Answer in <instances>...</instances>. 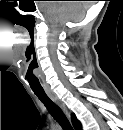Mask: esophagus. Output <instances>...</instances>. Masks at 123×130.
Returning <instances> with one entry per match:
<instances>
[{
    "label": "esophagus",
    "instance_id": "obj_1",
    "mask_svg": "<svg viewBox=\"0 0 123 130\" xmlns=\"http://www.w3.org/2000/svg\"><path fill=\"white\" fill-rule=\"evenodd\" d=\"M49 97L57 104L59 105L63 111L66 112V114L69 116L67 109L65 107V105L53 94V93H48Z\"/></svg>",
    "mask_w": 123,
    "mask_h": 130
}]
</instances>
